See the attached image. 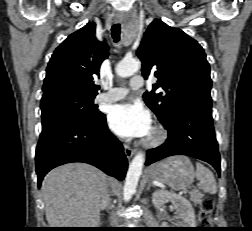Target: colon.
<instances>
[{
  "label": "colon",
  "instance_id": "1",
  "mask_svg": "<svg viewBox=\"0 0 252 231\" xmlns=\"http://www.w3.org/2000/svg\"><path fill=\"white\" fill-rule=\"evenodd\" d=\"M198 214V223L202 226H208L211 223L214 201L211 197H204L200 201Z\"/></svg>",
  "mask_w": 252,
  "mask_h": 231
}]
</instances>
